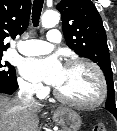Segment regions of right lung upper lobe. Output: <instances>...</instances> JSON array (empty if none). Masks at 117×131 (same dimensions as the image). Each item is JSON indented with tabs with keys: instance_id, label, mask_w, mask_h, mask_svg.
Returning <instances> with one entry per match:
<instances>
[{
	"instance_id": "cb5924a9",
	"label": "right lung upper lobe",
	"mask_w": 117,
	"mask_h": 131,
	"mask_svg": "<svg viewBox=\"0 0 117 131\" xmlns=\"http://www.w3.org/2000/svg\"><path fill=\"white\" fill-rule=\"evenodd\" d=\"M31 0H0V52L9 47L7 36L22 34L29 23Z\"/></svg>"
}]
</instances>
